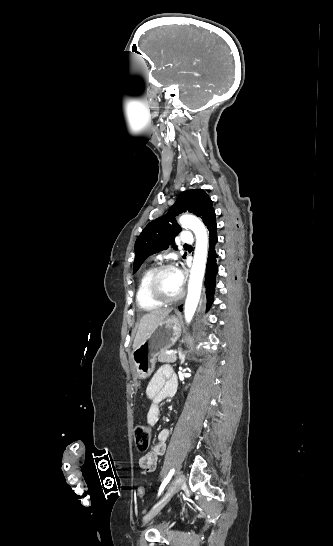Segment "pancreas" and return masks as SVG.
Listing matches in <instances>:
<instances>
[{
	"label": "pancreas",
	"instance_id": "cf45deb5",
	"mask_svg": "<svg viewBox=\"0 0 333 546\" xmlns=\"http://www.w3.org/2000/svg\"><path fill=\"white\" fill-rule=\"evenodd\" d=\"M157 359L163 363H174L177 360V356L174 353L167 354L166 352H160Z\"/></svg>",
	"mask_w": 333,
	"mask_h": 546
}]
</instances>
